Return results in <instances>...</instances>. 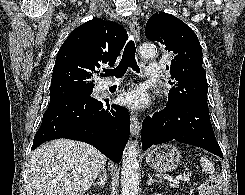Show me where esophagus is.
Here are the masks:
<instances>
[{
  "instance_id": "34e87169",
  "label": "esophagus",
  "mask_w": 245,
  "mask_h": 195,
  "mask_svg": "<svg viewBox=\"0 0 245 195\" xmlns=\"http://www.w3.org/2000/svg\"><path fill=\"white\" fill-rule=\"evenodd\" d=\"M129 29H130L135 41H139V39H140V26H139V23H138L136 17H131L130 22H129ZM130 120H131V125H130L131 135L133 137L137 138L140 134L141 123L134 113L130 114Z\"/></svg>"
}]
</instances>
